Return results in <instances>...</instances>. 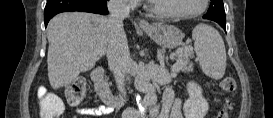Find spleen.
I'll return each instance as SVG.
<instances>
[{"mask_svg":"<svg viewBox=\"0 0 273 118\" xmlns=\"http://www.w3.org/2000/svg\"><path fill=\"white\" fill-rule=\"evenodd\" d=\"M192 38L202 71L215 80L221 79L226 70V50L219 32L207 24H198Z\"/></svg>","mask_w":273,"mask_h":118,"instance_id":"1","label":"spleen"}]
</instances>
